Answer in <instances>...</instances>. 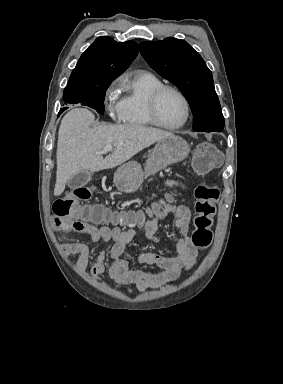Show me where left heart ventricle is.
Instances as JSON below:
<instances>
[{
	"label": "left heart ventricle",
	"instance_id": "1",
	"mask_svg": "<svg viewBox=\"0 0 283 384\" xmlns=\"http://www.w3.org/2000/svg\"><path fill=\"white\" fill-rule=\"evenodd\" d=\"M157 116L166 126L180 124L185 117V107L182 100L173 92H165L157 104Z\"/></svg>",
	"mask_w": 283,
	"mask_h": 384
}]
</instances>
